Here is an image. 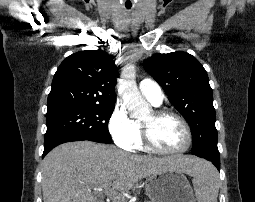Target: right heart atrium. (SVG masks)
<instances>
[{
  "mask_svg": "<svg viewBox=\"0 0 255 202\" xmlns=\"http://www.w3.org/2000/svg\"><path fill=\"white\" fill-rule=\"evenodd\" d=\"M108 131L114 143L122 149L131 150L135 146L137 130L125 107L117 104L108 120Z\"/></svg>",
  "mask_w": 255,
  "mask_h": 202,
  "instance_id": "right-heart-atrium-1",
  "label": "right heart atrium"
}]
</instances>
